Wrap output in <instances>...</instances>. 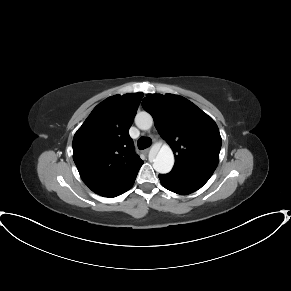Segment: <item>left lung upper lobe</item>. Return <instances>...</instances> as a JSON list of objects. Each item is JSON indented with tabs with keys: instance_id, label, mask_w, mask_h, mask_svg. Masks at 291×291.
Returning <instances> with one entry per match:
<instances>
[{
	"instance_id": "left-lung-upper-lobe-1",
	"label": "left lung upper lobe",
	"mask_w": 291,
	"mask_h": 291,
	"mask_svg": "<svg viewBox=\"0 0 291 291\" xmlns=\"http://www.w3.org/2000/svg\"><path fill=\"white\" fill-rule=\"evenodd\" d=\"M142 106L174 152L171 172L209 179L218 165L222 144L214 120L179 95L147 94Z\"/></svg>"
}]
</instances>
